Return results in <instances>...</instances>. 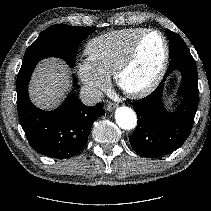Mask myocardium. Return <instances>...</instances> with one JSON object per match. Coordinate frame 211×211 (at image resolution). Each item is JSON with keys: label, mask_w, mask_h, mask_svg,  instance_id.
Here are the masks:
<instances>
[{"label": "myocardium", "mask_w": 211, "mask_h": 211, "mask_svg": "<svg viewBox=\"0 0 211 211\" xmlns=\"http://www.w3.org/2000/svg\"><path fill=\"white\" fill-rule=\"evenodd\" d=\"M151 33H156L158 34L163 42V58H162V62L161 65L157 71V73L155 74V76L152 78V80L147 83L145 86L139 88V89H135V90H130V89H126L123 86L122 80L124 75L131 69V67L134 65L137 57H138V53H139V49L140 46L144 40V38ZM169 60H170V47H169V43L168 40L166 38V36L164 35V33L158 29H154V28H149V29H144L134 40L132 46L130 47L129 51L127 52V54L125 55V57L123 58V60L119 63V65L117 66L115 72H114V80L116 85L128 96L132 97V98H144L146 96H148L149 94H151L161 83V81L163 80L168 66H169Z\"/></svg>", "instance_id": "obj_1"}]
</instances>
